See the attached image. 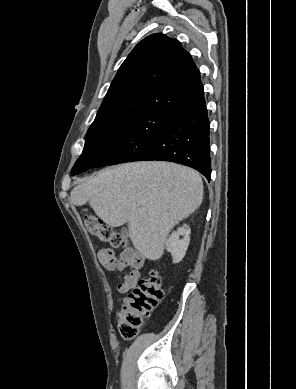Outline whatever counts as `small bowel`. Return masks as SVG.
Returning a JSON list of instances; mask_svg holds the SVG:
<instances>
[{"label":"small bowel","instance_id":"c3829d8e","mask_svg":"<svg viewBox=\"0 0 296 389\" xmlns=\"http://www.w3.org/2000/svg\"><path fill=\"white\" fill-rule=\"evenodd\" d=\"M98 258L102 266L107 270L129 268L128 274L118 285L119 292L126 293L136 286L140 277V269L144 264V259L141 254L132 248H125L121 251L119 257L116 258L112 250L103 249L99 252Z\"/></svg>","mask_w":296,"mask_h":389}]
</instances>
